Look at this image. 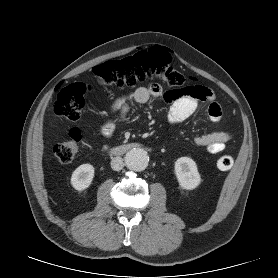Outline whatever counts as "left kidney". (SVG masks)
<instances>
[{
    "instance_id": "5707ae66",
    "label": "left kidney",
    "mask_w": 278,
    "mask_h": 278,
    "mask_svg": "<svg viewBox=\"0 0 278 278\" xmlns=\"http://www.w3.org/2000/svg\"><path fill=\"white\" fill-rule=\"evenodd\" d=\"M175 174L179 185L186 190L199 186L201 177L194 160L189 157L178 158L175 162Z\"/></svg>"
}]
</instances>
